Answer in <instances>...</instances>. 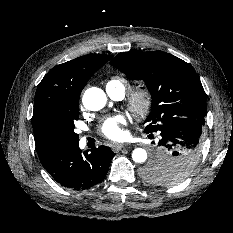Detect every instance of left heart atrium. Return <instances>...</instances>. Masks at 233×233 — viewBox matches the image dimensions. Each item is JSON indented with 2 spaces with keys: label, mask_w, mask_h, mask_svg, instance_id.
<instances>
[{
  "label": "left heart atrium",
  "mask_w": 233,
  "mask_h": 233,
  "mask_svg": "<svg viewBox=\"0 0 233 233\" xmlns=\"http://www.w3.org/2000/svg\"><path fill=\"white\" fill-rule=\"evenodd\" d=\"M125 118L121 115L104 118L99 126L100 133L108 139L120 140L124 137Z\"/></svg>",
  "instance_id": "left-heart-atrium-1"
}]
</instances>
